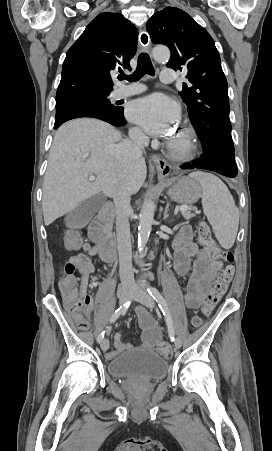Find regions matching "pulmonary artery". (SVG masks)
I'll use <instances>...</instances> for the list:
<instances>
[{"mask_svg": "<svg viewBox=\"0 0 272 451\" xmlns=\"http://www.w3.org/2000/svg\"><path fill=\"white\" fill-rule=\"evenodd\" d=\"M159 76H160V79L163 81V82H166V83H168V84H173L174 83V77H175V72L172 70V68L169 66V65H164L163 67H162V70H160V73H159ZM136 86L139 84L137 81L134 83ZM137 88L134 86H130V85H127L126 87H125V90H122V89H117V90H115L113 93H112V98H114V99H121V98H125V97H129V96H132V95H135V94H138L139 93V91H135ZM140 91L141 90H145L146 88L143 86V87H139L138 88ZM132 90V91H131ZM134 90V91H133Z\"/></svg>", "mask_w": 272, "mask_h": 451, "instance_id": "obj_1", "label": "pulmonary artery"}]
</instances>
